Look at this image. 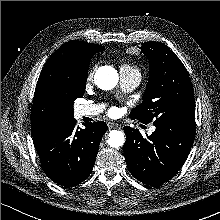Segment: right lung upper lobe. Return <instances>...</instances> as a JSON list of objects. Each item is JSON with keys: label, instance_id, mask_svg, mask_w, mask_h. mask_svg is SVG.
<instances>
[{"label": "right lung upper lobe", "instance_id": "cb5924a9", "mask_svg": "<svg viewBox=\"0 0 220 220\" xmlns=\"http://www.w3.org/2000/svg\"><path fill=\"white\" fill-rule=\"evenodd\" d=\"M104 49L101 45L72 40L48 59L35 89L31 112L32 135L71 119L60 94L61 78L68 68L90 62L93 55Z\"/></svg>", "mask_w": 220, "mask_h": 220}]
</instances>
